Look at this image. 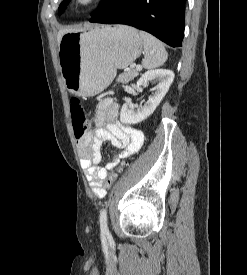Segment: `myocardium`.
<instances>
[{"label":"myocardium","mask_w":247,"mask_h":275,"mask_svg":"<svg viewBox=\"0 0 247 275\" xmlns=\"http://www.w3.org/2000/svg\"><path fill=\"white\" fill-rule=\"evenodd\" d=\"M101 0H72V4L77 9H89L100 3Z\"/></svg>","instance_id":"obj_1"}]
</instances>
